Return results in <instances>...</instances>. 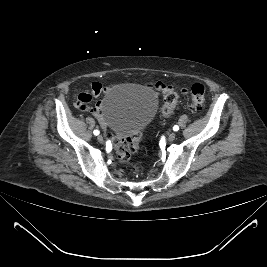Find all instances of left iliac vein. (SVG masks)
I'll list each match as a JSON object with an SVG mask.
<instances>
[{
	"instance_id": "obj_1",
	"label": "left iliac vein",
	"mask_w": 267,
	"mask_h": 267,
	"mask_svg": "<svg viewBox=\"0 0 267 267\" xmlns=\"http://www.w3.org/2000/svg\"><path fill=\"white\" fill-rule=\"evenodd\" d=\"M175 138H176V134L173 132V133L169 134V136H168V141H169V142H172V141L175 140Z\"/></svg>"
}]
</instances>
